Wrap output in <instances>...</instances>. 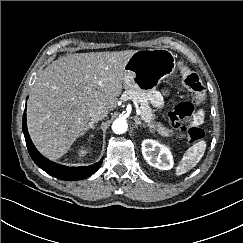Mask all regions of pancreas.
Wrapping results in <instances>:
<instances>
[{
	"label": "pancreas",
	"instance_id": "pancreas-1",
	"mask_svg": "<svg viewBox=\"0 0 243 243\" xmlns=\"http://www.w3.org/2000/svg\"><path fill=\"white\" fill-rule=\"evenodd\" d=\"M122 100H136L140 102L141 119L144 120L150 128H154V114L148 103L146 91L141 88L126 90L122 95Z\"/></svg>",
	"mask_w": 243,
	"mask_h": 243
}]
</instances>
